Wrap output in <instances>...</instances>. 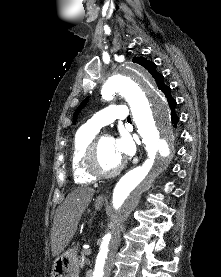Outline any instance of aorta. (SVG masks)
Segmentation results:
<instances>
[{
  "label": "aorta",
  "instance_id": "obj_1",
  "mask_svg": "<svg viewBox=\"0 0 221 277\" xmlns=\"http://www.w3.org/2000/svg\"><path fill=\"white\" fill-rule=\"evenodd\" d=\"M118 93L130 106L147 159L123 175L113 190L112 205L116 217L102 237L95 259L93 277H107L120 243V229L137 208L141 195L150 188L173 156L174 134L168 104L157 91L149 73L139 65L128 64L103 84L104 100Z\"/></svg>",
  "mask_w": 221,
  "mask_h": 277
}]
</instances>
